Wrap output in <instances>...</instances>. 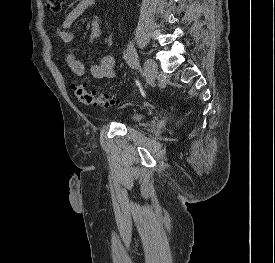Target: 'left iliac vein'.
<instances>
[{
  "instance_id": "obj_1",
  "label": "left iliac vein",
  "mask_w": 275,
  "mask_h": 263,
  "mask_svg": "<svg viewBox=\"0 0 275 263\" xmlns=\"http://www.w3.org/2000/svg\"><path fill=\"white\" fill-rule=\"evenodd\" d=\"M143 72L146 76L147 82L149 84L153 83L158 73L157 63L151 58L146 59L143 65Z\"/></svg>"
}]
</instances>
